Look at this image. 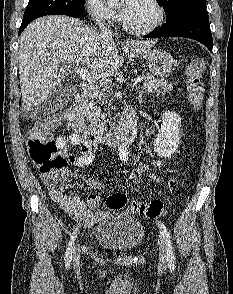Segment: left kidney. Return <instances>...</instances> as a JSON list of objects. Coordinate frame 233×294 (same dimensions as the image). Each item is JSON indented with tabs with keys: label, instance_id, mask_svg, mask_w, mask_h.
<instances>
[{
	"label": "left kidney",
	"instance_id": "left-kidney-1",
	"mask_svg": "<svg viewBox=\"0 0 233 294\" xmlns=\"http://www.w3.org/2000/svg\"><path fill=\"white\" fill-rule=\"evenodd\" d=\"M157 138L153 142L155 152L163 158H170L176 153L180 143L181 118L175 112L165 111Z\"/></svg>",
	"mask_w": 233,
	"mask_h": 294
}]
</instances>
